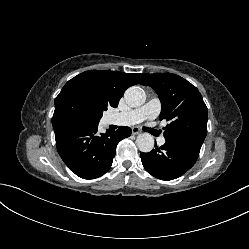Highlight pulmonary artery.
<instances>
[{
	"label": "pulmonary artery",
	"mask_w": 249,
	"mask_h": 249,
	"mask_svg": "<svg viewBox=\"0 0 249 249\" xmlns=\"http://www.w3.org/2000/svg\"><path fill=\"white\" fill-rule=\"evenodd\" d=\"M160 111V100L158 98H152L140 108L127 112L111 114L108 120L111 124L119 126H130L137 124L145 119H155L159 115ZM158 142L160 145H163L165 143V138L161 137Z\"/></svg>",
	"instance_id": "e3ab8cb5"
}]
</instances>
